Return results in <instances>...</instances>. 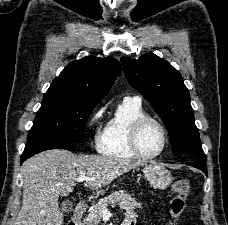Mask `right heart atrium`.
Returning a JSON list of instances; mask_svg holds the SVG:
<instances>
[{
    "instance_id": "obj_1",
    "label": "right heart atrium",
    "mask_w": 228,
    "mask_h": 225,
    "mask_svg": "<svg viewBox=\"0 0 228 225\" xmlns=\"http://www.w3.org/2000/svg\"><path fill=\"white\" fill-rule=\"evenodd\" d=\"M105 111V106H100L98 108H96L89 116L88 118V125L93 128L95 131V138L97 136V131L95 129L96 124L98 123V121L100 120V118L102 117L103 113Z\"/></svg>"
}]
</instances>
